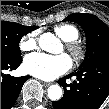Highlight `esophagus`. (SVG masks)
I'll return each mask as SVG.
<instances>
[{
	"label": "esophagus",
	"mask_w": 109,
	"mask_h": 109,
	"mask_svg": "<svg viewBox=\"0 0 109 109\" xmlns=\"http://www.w3.org/2000/svg\"><path fill=\"white\" fill-rule=\"evenodd\" d=\"M42 84H43V86H45V87H48L49 85H51V83H48V82H43Z\"/></svg>",
	"instance_id": "esophagus-1"
}]
</instances>
